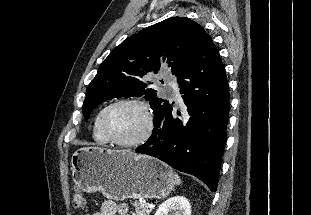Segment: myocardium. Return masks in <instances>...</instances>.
<instances>
[{
    "label": "myocardium",
    "instance_id": "obj_1",
    "mask_svg": "<svg viewBox=\"0 0 311 215\" xmlns=\"http://www.w3.org/2000/svg\"><path fill=\"white\" fill-rule=\"evenodd\" d=\"M124 104L136 105L140 107L146 115V128L144 132L137 139L130 140V141H125V140H120V139L115 138L114 136L110 134L106 126V117L109 111L116 106L124 105ZM99 127H100L101 133L108 140V142L118 145V146H122V147H129V148L138 147L144 144L152 135L153 128H154L153 113L148 103L145 102L144 100H141L139 98L119 99V100H116L110 103L102 110L100 119H99Z\"/></svg>",
    "mask_w": 311,
    "mask_h": 215
}]
</instances>
